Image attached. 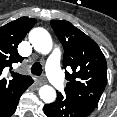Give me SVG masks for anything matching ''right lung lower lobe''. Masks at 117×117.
Segmentation results:
<instances>
[{
	"instance_id": "98d812e1",
	"label": "right lung lower lobe",
	"mask_w": 117,
	"mask_h": 117,
	"mask_svg": "<svg viewBox=\"0 0 117 117\" xmlns=\"http://www.w3.org/2000/svg\"><path fill=\"white\" fill-rule=\"evenodd\" d=\"M33 83V80H32V82L28 85V87L31 85ZM27 87V88H28ZM26 88V89H27ZM25 89V90H26ZM24 90V91H25ZM23 91V92H24ZM22 92V93H23ZM22 93L14 100V101H12L11 102V104L6 108V109H4L2 112H0V117H10L14 112H15V110H16V108H17V104H18V102H19V99H20V97H21V95H22Z\"/></svg>"
}]
</instances>
